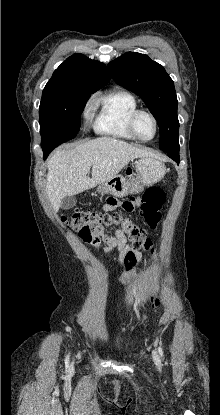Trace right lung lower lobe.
<instances>
[{
	"mask_svg": "<svg viewBox=\"0 0 220 415\" xmlns=\"http://www.w3.org/2000/svg\"><path fill=\"white\" fill-rule=\"evenodd\" d=\"M54 148H48V149H43V153H44V157L43 159H46L47 156L49 155V153L53 150Z\"/></svg>",
	"mask_w": 220,
	"mask_h": 415,
	"instance_id": "1",
	"label": "right lung lower lobe"
}]
</instances>
